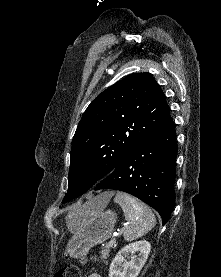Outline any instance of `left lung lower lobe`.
<instances>
[{"label":"left lung lower lobe","instance_id":"obj_1","mask_svg":"<svg viewBox=\"0 0 221 277\" xmlns=\"http://www.w3.org/2000/svg\"><path fill=\"white\" fill-rule=\"evenodd\" d=\"M176 132L170 115L135 145L94 190L129 193L156 209L163 225L174 208Z\"/></svg>","mask_w":221,"mask_h":277}]
</instances>
